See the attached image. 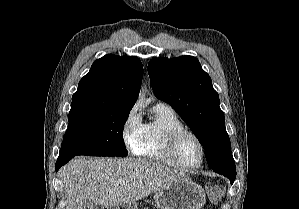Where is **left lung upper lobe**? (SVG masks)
I'll use <instances>...</instances> for the list:
<instances>
[{
  "instance_id": "1",
  "label": "left lung upper lobe",
  "mask_w": 299,
  "mask_h": 209,
  "mask_svg": "<svg viewBox=\"0 0 299 209\" xmlns=\"http://www.w3.org/2000/svg\"><path fill=\"white\" fill-rule=\"evenodd\" d=\"M148 73L155 96L171 105L197 136L209 168L232 154L219 95L198 59L153 58Z\"/></svg>"
}]
</instances>
